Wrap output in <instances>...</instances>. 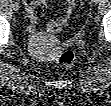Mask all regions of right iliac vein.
I'll return each instance as SVG.
<instances>
[{
    "mask_svg": "<svg viewBox=\"0 0 111 106\" xmlns=\"http://www.w3.org/2000/svg\"><path fill=\"white\" fill-rule=\"evenodd\" d=\"M12 8H13V10H15V11L19 10V4H18L17 2H13V3H12Z\"/></svg>",
    "mask_w": 111,
    "mask_h": 106,
    "instance_id": "right-iliac-vein-1",
    "label": "right iliac vein"
}]
</instances>
